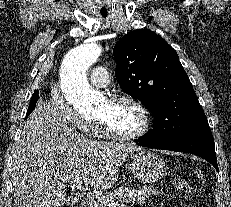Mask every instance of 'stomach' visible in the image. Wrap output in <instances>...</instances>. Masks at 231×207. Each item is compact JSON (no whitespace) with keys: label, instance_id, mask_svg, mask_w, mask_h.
<instances>
[{"label":"stomach","instance_id":"0dacf381","mask_svg":"<svg viewBox=\"0 0 231 207\" xmlns=\"http://www.w3.org/2000/svg\"><path fill=\"white\" fill-rule=\"evenodd\" d=\"M130 170L141 183L153 184L166 175L167 164L156 153L140 150L131 156Z\"/></svg>","mask_w":231,"mask_h":207}]
</instances>
